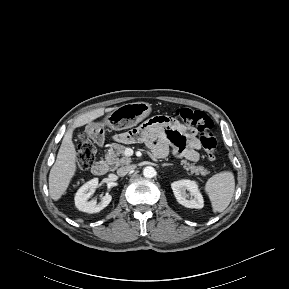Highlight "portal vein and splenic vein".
I'll list each match as a JSON object with an SVG mask.
<instances>
[{
  "instance_id": "obj_1",
  "label": "portal vein and splenic vein",
  "mask_w": 289,
  "mask_h": 289,
  "mask_svg": "<svg viewBox=\"0 0 289 289\" xmlns=\"http://www.w3.org/2000/svg\"><path fill=\"white\" fill-rule=\"evenodd\" d=\"M126 154H127V156L133 155V150L132 149H127L126 150Z\"/></svg>"
}]
</instances>
